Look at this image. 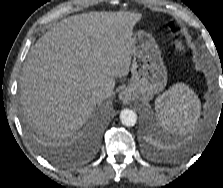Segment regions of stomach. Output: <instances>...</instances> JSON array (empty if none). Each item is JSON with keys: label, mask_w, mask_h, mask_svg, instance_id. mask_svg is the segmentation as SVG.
I'll return each mask as SVG.
<instances>
[{"label": "stomach", "mask_w": 223, "mask_h": 188, "mask_svg": "<svg viewBox=\"0 0 223 188\" xmlns=\"http://www.w3.org/2000/svg\"><path fill=\"white\" fill-rule=\"evenodd\" d=\"M133 53L128 89L138 99L148 100L167 84V71L154 38L142 31L131 36Z\"/></svg>", "instance_id": "1"}]
</instances>
